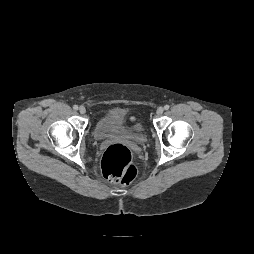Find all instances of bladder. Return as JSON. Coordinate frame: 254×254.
<instances>
[{
	"instance_id": "1",
	"label": "bladder",
	"mask_w": 254,
	"mask_h": 254,
	"mask_svg": "<svg viewBox=\"0 0 254 254\" xmlns=\"http://www.w3.org/2000/svg\"><path fill=\"white\" fill-rule=\"evenodd\" d=\"M93 135L96 140H106L114 137H129L143 140L144 134L135 132L127 122L124 110L116 108L101 115L94 126Z\"/></svg>"
}]
</instances>
